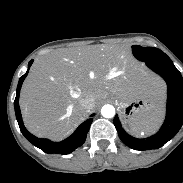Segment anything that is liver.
<instances>
[{
	"label": "liver",
	"mask_w": 183,
	"mask_h": 183,
	"mask_svg": "<svg viewBox=\"0 0 183 183\" xmlns=\"http://www.w3.org/2000/svg\"><path fill=\"white\" fill-rule=\"evenodd\" d=\"M108 92L122 98L149 97L163 104L164 83L140 69L120 46L90 45L56 51L34 63L23 83L20 108L27 129L38 137L68 136ZM94 97L91 108L80 104Z\"/></svg>",
	"instance_id": "1"
}]
</instances>
